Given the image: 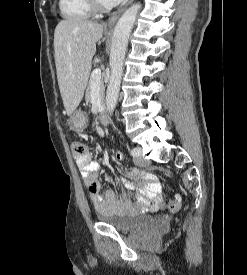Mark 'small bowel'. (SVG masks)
Here are the masks:
<instances>
[{
    "label": "small bowel",
    "mask_w": 247,
    "mask_h": 275,
    "mask_svg": "<svg viewBox=\"0 0 247 275\" xmlns=\"http://www.w3.org/2000/svg\"><path fill=\"white\" fill-rule=\"evenodd\" d=\"M119 160L121 154H117ZM77 164L84 180L88 186L90 197L95 209L99 213L128 214L140 210H157L163 204L161 185L157 177L149 172H132L131 177L123 178V184L132 190H136V203L124 195H117L112 190L101 192L99 181V164L87 154L84 158H77ZM91 187L94 189L91 190Z\"/></svg>",
    "instance_id": "obj_1"
}]
</instances>
